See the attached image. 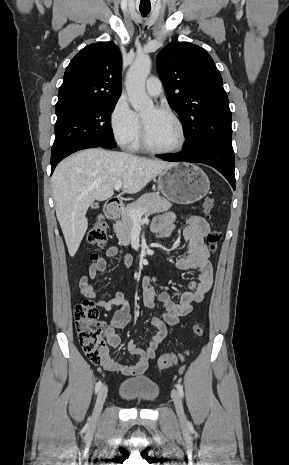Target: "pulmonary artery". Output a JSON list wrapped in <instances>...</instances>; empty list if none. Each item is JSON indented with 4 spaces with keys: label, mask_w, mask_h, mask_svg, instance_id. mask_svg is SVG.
<instances>
[{
    "label": "pulmonary artery",
    "mask_w": 289,
    "mask_h": 465,
    "mask_svg": "<svg viewBox=\"0 0 289 465\" xmlns=\"http://www.w3.org/2000/svg\"><path fill=\"white\" fill-rule=\"evenodd\" d=\"M146 91L150 96L156 97L162 91V84L159 78L150 77L146 81Z\"/></svg>",
    "instance_id": "1"
}]
</instances>
